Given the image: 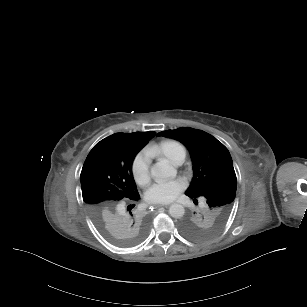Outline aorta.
<instances>
[{"mask_svg":"<svg viewBox=\"0 0 307 307\" xmlns=\"http://www.w3.org/2000/svg\"><path fill=\"white\" fill-rule=\"evenodd\" d=\"M150 173L156 180H166L174 178L177 175V170L167 159H161L151 166ZM184 213L185 209L181 204L173 203L169 207V214L173 218L179 219L183 217Z\"/></svg>","mask_w":307,"mask_h":307,"instance_id":"1","label":"aorta"}]
</instances>
